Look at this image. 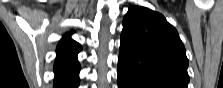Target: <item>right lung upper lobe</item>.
Listing matches in <instances>:
<instances>
[{
  "label": "right lung upper lobe",
  "mask_w": 223,
  "mask_h": 88,
  "mask_svg": "<svg viewBox=\"0 0 223 88\" xmlns=\"http://www.w3.org/2000/svg\"><path fill=\"white\" fill-rule=\"evenodd\" d=\"M81 46L66 34L57 47V58L54 65L55 79L75 81L80 70L77 53Z\"/></svg>",
  "instance_id": "obj_1"
}]
</instances>
